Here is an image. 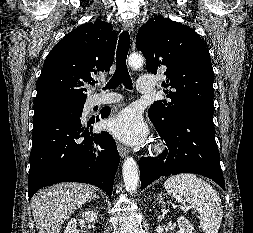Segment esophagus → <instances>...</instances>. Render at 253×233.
Segmentation results:
<instances>
[{"label":"esophagus","mask_w":253,"mask_h":233,"mask_svg":"<svg viewBox=\"0 0 253 233\" xmlns=\"http://www.w3.org/2000/svg\"><path fill=\"white\" fill-rule=\"evenodd\" d=\"M134 27H135V24H134L133 20H127L123 23V29L127 30L129 32H133ZM117 149H118V152H119L121 158H124L127 156L128 149L126 147H124L120 143H117Z\"/></svg>","instance_id":"34e87169"}]
</instances>
